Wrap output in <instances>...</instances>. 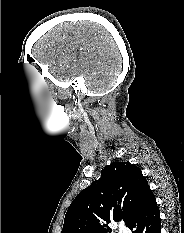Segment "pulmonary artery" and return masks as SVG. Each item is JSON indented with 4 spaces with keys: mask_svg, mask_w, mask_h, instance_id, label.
I'll list each match as a JSON object with an SVG mask.
<instances>
[{
    "mask_svg": "<svg viewBox=\"0 0 184 233\" xmlns=\"http://www.w3.org/2000/svg\"><path fill=\"white\" fill-rule=\"evenodd\" d=\"M118 233H129V230L125 226L120 225L118 228Z\"/></svg>",
    "mask_w": 184,
    "mask_h": 233,
    "instance_id": "obj_1",
    "label": "pulmonary artery"
}]
</instances>
